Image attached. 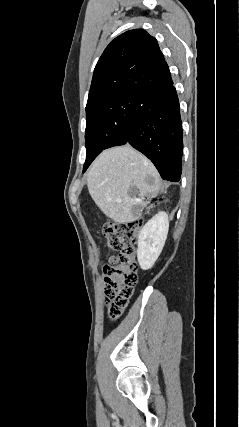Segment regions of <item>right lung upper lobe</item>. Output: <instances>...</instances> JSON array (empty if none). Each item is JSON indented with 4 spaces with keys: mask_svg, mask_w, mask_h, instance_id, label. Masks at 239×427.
I'll return each mask as SVG.
<instances>
[{
    "mask_svg": "<svg viewBox=\"0 0 239 427\" xmlns=\"http://www.w3.org/2000/svg\"><path fill=\"white\" fill-rule=\"evenodd\" d=\"M157 40L134 29L116 37L97 62L87 106L104 99L145 94L172 84Z\"/></svg>",
    "mask_w": 239,
    "mask_h": 427,
    "instance_id": "cb5924a9",
    "label": "right lung upper lobe"
}]
</instances>
